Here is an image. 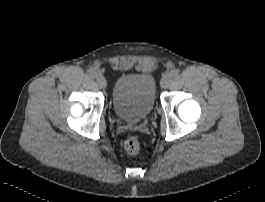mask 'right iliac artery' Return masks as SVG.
I'll list each match as a JSON object with an SVG mask.
<instances>
[{
	"instance_id": "obj_1",
	"label": "right iliac artery",
	"mask_w": 265,
	"mask_h": 202,
	"mask_svg": "<svg viewBox=\"0 0 265 202\" xmlns=\"http://www.w3.org/2000/svg\"><path fill=\"white\" fill-rule=\"evenodd\" d=\"M88 77H92L94 78L96 76V73L93 71V70H89L88 73H87Z\"/></svg>"
}]
</instances>
